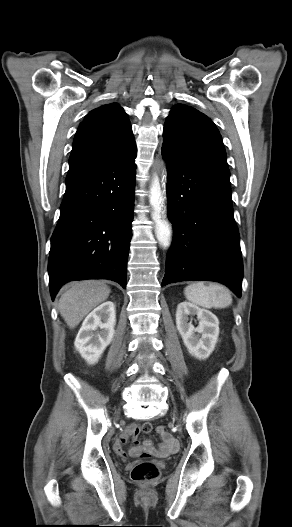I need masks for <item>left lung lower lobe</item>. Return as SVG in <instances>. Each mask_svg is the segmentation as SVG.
Listing matches in <instances>:
<instances>
[{
	"label": "left lung lower lobe",
	"mask_w": 292,
	"mask_h": 527,
	"mask_svg": "<svg viewBox=\"0 0 292 527\" xmlns=\"http://www.w3.org/2000/svg\"><path fill=\"white\" fill-rule=\"evenodd\" d=\"M167 161L168 217L174 237L162 285L211 280L241 297L243 262L228 168L162 148Z\"/></svg>",
	"instance_id": "0a47b994"
}]
</instances>
